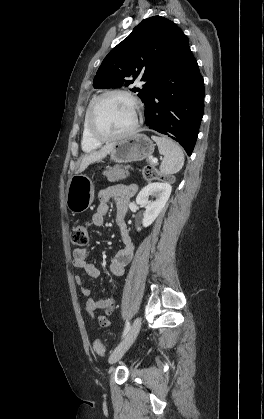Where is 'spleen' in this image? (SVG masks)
<instances>
[{
  "label": "spleen",
  "instance_id": "obj_1",
  "mask_svg": "<svg viewBox=\"0 0 264 419\" xmlns=\"http://www.w3.org/2000/svg\"><path fill=\"white\" fill-rule=\"evenodd\" d=\"M152 139L158 145L163 160L160 165V171L164 175H172L179 172L184 165V154L176 142L166 137L152 136Z\"/></svg>",
  "mask_w": 264,
  "mask_h": 419
}]
</instances>
